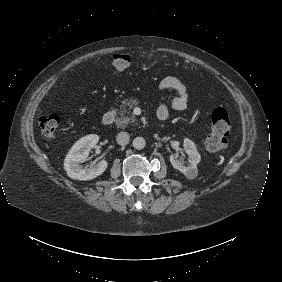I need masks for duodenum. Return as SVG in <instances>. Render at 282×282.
<instances>
[{"label": "duodenum", "mask_w": 282, "mask_h": 282, "mask_svg": "<svg viewBox=\"0 0 282 282\" xmlns=\"http://www.w3.org/2000/svg\"><path fill=\"white\" fill-rule=\"evenodd\" d=\"M116 118V110L112 109L108 111L101 119L102 126H109L111 125Z\"/></svg>", "instance_id": "obj_1"}]
</instances>
